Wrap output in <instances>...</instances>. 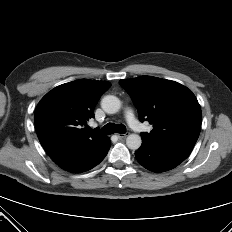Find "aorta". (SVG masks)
Masks as SVG:
<instances>
[{"label":"aorta","mask_w":232,"mask_h":232,"mask_svg":"<svg viewBox=\"0 0 232 232\" xmlns=\"http://www.w3.org/2000/svg\"><path fill=\"white\" fill-rule=\"evenodd\" d=\"M102 109L108 114H114L121 108V101L119 98L113 95L104 96L101 100ZM142 139L137 134H130L126 138V145L131 150H137L140 148Z\"/></svg>","instance_id":"aorta-1"}]
</instances>
